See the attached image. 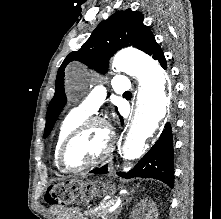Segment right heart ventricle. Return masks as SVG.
<instances>
[{
  "label": "right heart ventricle",
  "instance_id": "right-heart-ventricle-1",
  "mask_svg": "<svg viewBox=\"0 0 221 219\" xmlns=\"http://www.w3.org/2000/svg\"><path fill=\"white\" fill-rule=\"evenodd\" d=\"M86 118L87 115H84L76 110H73L68 115H66L65 118L59 124L53 148V163L58 170L61 169L57 162V155L62 142L69 134V132L78 124H80L82 121H84Z\"/></svg>",
  "mask_w": 221,
  "mask_h": 219
}]
</instances>
